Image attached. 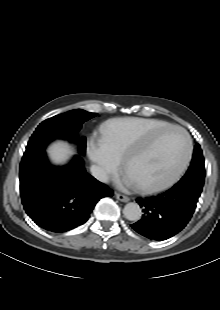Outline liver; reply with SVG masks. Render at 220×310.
<instances>
[{"mask_svg":"<svg viewBox=\"0 0 220 310\" xmlns=\"http://www.w3.org/2000/svg\"><path fill=\"white\" fill-rule=\"evenodd\" d=\"M51 160L56 164L65 163L73 154L71 146L65 142H55L48 149Z\"/></svg>","mask_w":220,"mask_h":310,"instance_id":"obj_1","label":"liver"}]
</instances>
